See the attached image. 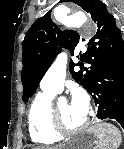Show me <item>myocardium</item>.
<instances>
[{
	"label": "myocardium",
	"mask_w": 124,
	"mask_h": 149,
	"mask_svg": "<svg viewBox=\"0 0 124 149\" xmlns=\"http://www.w3.org/2000/svg\"><path fill=\"white\" fill-rule=\"evenodd\" d=\"M50 114H51L52 128L60 136H73V135L79 134L82 131H84L90 123V118L86 117L84 122L76 128H69L65 126V124L63 123L62 117L58 111L57 105L54 107H51Z\"/></svg>",
	"instance_id": "f54148a6"
}]
</instances>
